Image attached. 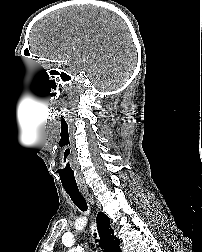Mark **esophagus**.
I'll list each match as a JSON object with an SVG mask.
<instances>
[{
  "instance_id": "34e87169",
  "label": "esophagus",
  "mask_w": 202,
  "mask_h": 252,
  "mask_svg": "<svg viewBox=\"0 0 202 252\" xmlns=\"http://www.w3.org/2000/svg\"><path fill=\"white\" fill-rule=\"evenodd\" d=\"M82 193L85 195V197L87 198V200L91 203L94 204V200L93 197L91 196V194L88 192V189L86 187L81 188Z\"/></svg>"
}]
</instances>
